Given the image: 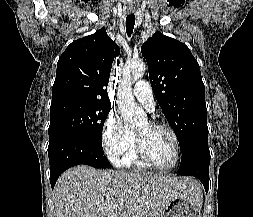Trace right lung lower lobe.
<instances>
[{
	"instance_id": "right-lung-lower-lobe-1",
	"label": "right lung lower lobe",
	"mask_w": 253,
	"mask_h": 217,
	"mask_svg": "<svg viewBox=\"0 0 253 217\" xmlns=\"http://www.w3.org/2000/svg\"><path fill=\"white\" fill-rule=\"evenodd\" d=\"M48 156L52 189L58 177L72 166L85 164L95 168L111 167L102 148L78 135H62L49 140Z\"/></svg>"
}]
</instances>
